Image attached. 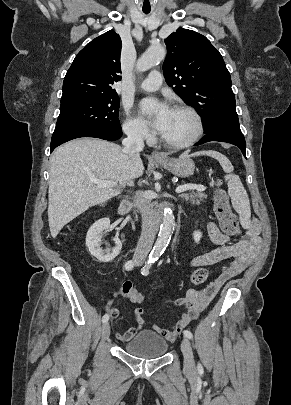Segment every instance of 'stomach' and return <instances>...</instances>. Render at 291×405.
I'll return each instance as SVG.
<instances>
[{"label": "stomach", "instance_id": "0dacf381", "mask_svg": "<svg viewBox=\"0 0 291 405\" xmlns=\"http://www.w3.org/2000/svg\"><path fill=\"white\" fill-rule=\"evenodd\" d=\"M157 164L161 165L172 174L182 178L193 175L195 170L194 162L187 157H180L178 159L165 158L157 161Z\"/></svg>", "mask_w": 291, "mask_h": 405}]
</instances>
